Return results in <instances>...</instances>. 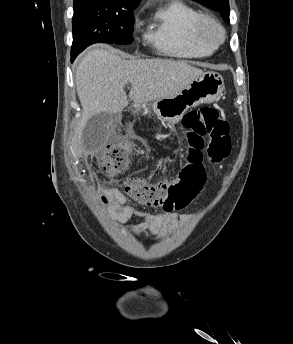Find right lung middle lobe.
Returning <instances> with one entry per match:
<instances>
[{
	"mask_svg": "<svg viewBox=\"0 0 293 344\" xmlns=\"http://www.w3.org/2000/svg\"><path fill=\"white\" fill-rule=\"evenodd\" d=\"M73 44L71 58L93 43L130 44L136 5H121L94 0L73 4Z\"/></svg>",
	"mask_w": 293,
	"mask_h": 344,
	"instance_id": "obj_1",
	"label": "right lung middle lobe"
}]
</instances>
